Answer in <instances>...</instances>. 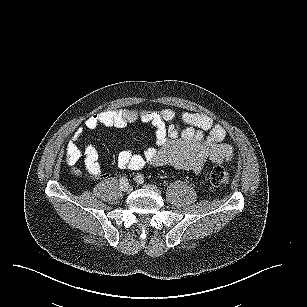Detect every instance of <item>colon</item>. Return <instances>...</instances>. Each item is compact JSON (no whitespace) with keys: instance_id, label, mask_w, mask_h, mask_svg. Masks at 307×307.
<instances>
[{"instance_id":"5ec220e1","label":"colon","mask_w":307,"mask_h":307,"mask_svg":"<svg viewBox=\"0 0 307 307\" xmlns=\"http://www.w3.org/2000/svg\"><path fill=\"white\" fill-rule=\"evenodd\" d=\"M208 180L212 186L221 188L229 183L230 176L225 168L216 166L209 171Z\"/></svg>"}]
</instances>
